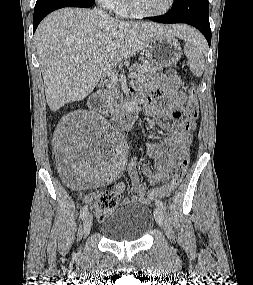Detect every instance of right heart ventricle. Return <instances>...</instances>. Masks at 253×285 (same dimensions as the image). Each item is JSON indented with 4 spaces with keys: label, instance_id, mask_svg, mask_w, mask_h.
<instances>
[{
    "label": "right heart ventricle",
    "instance_id": "e07e8e85",
    "mask_svg": "<svg viewBox=\"0 0 253 285\" xmlns=\"http://www.w3.org/2000/svg\"><path fill=\"white\" fill-rule=\"evenodd\" d=\"M119 16L126 17L131 15L126 0H121L119 6L115 10Z\"/></svg>",
    "mask_w": 253,
    "mask_h": 285
}]
</instances>
